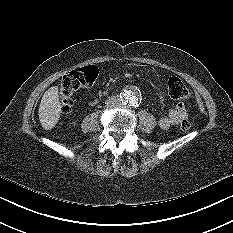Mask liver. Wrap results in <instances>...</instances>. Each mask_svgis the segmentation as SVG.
<instances>
[{
	"instance_id": "obj_1",
	"label": "liver",
	"mask_w": 233,
	"mask_h": 233,
	"mask_svg": "<svg viewBox=\"0 0 233 233\" xmlns=\"http://www.w3.org/2000/svg\"><path fill=\"white\" fill-rule=\"evenodd\" d=\"M58 94V86H52L44 93L41 99L39 120L45 130L54 128L60 118L62 104Z\"/></svg>"
}]
</instances>
